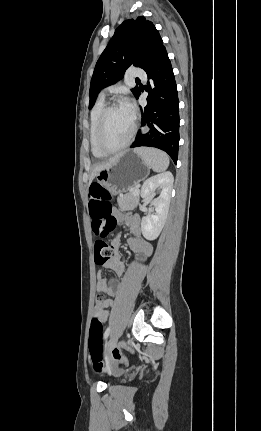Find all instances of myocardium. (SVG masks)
Segmentation results:
<instances>
[{"label":"myocardium","mask_w":261,"mask_h":431,"mask_svg":"<svg viewBox=\"0 0 261 431\" xmlns=\"http://www.w3.org/2000/svg\"><path fill=\"white\" fill-rule=\"evenodd\" d=\"M119 104H121L119 101H113L109 104H107L103 110L101 111V114L99 116V121H98V126H97V131H96V144L98 149L104 153L105 155H111V154H115L117 152H120L122 150H124L126 147H128L135 134L137 131V117L136 115L133 113V125H132V129L131 132L128 136V138L125 140L124 143H122L120 146L115 147V148H109L104 144L103 141V133H104V127H105V121H106V117L108 115V113L115 108L116 106H118Z\"/></svg>","instance_id":"myocardium-1"}]
</instances>
